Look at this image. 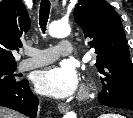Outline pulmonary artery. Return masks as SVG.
I'll return each instance as SVG.
<instances>
[{"instance_id":"e3ab8cb5","label":"pulmonary artery","mask_w":133,"mask_h":118,"mask_svg":"<svg viewBox=\"0 0 133 118\" xmlns=\"http://www.w3.org/2000/svg\"><path fill=\"white\" fill-rule=\"evenodd\" d=\"M30 58L19 62L18 70L27 71L49 63H52L63 56H69L73 52V45L69 40H61L57 45L44 49H25Z\"/></svg>"}]
</instances>
